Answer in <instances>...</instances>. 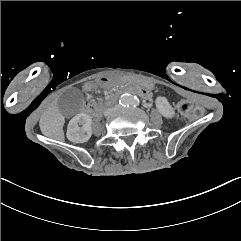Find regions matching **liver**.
<instances>
[{"mask_svg":"<svg viewBox=\"0 0 241 241\" xmlns=\"http://www.w3.org/2000/svg\"><path fill=\"white\" fill-rule=\"evenodd\" d=\"M64 123V116L59 112L56 106L52 105L42 114L39 126L43 135L59 141H64Z\"/></svg>","mask_w":241,"mask_h":241,"instance_id":"1","label":"liver"}]
</instances>
